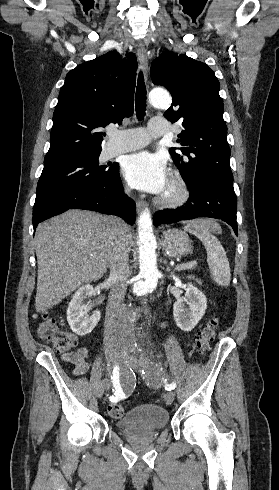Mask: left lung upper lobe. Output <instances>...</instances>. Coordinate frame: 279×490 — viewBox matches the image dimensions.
<instances>
[{
	"label": "left lung upper lobe",
	"mask_w": 279,
	"mask_h": 490,
	"mask_svg": "<svg viewBox=\"0 0 279 490\" xmlns=\"http://www.w3.org/2000/svg\"><path fill=\"white\" fill-rule=\"evenodd\" d=\"M151 78L172 95L164 116L171 122L182 121L176 142L183 146L179 150L185 156L176 153V148L169 152L187 185L203 175L233 181L224 106L214 72L185 54L164 51L152 62Z\"/></svg>",
	"instance_id": "5c2ea615"
}]
</instances>
